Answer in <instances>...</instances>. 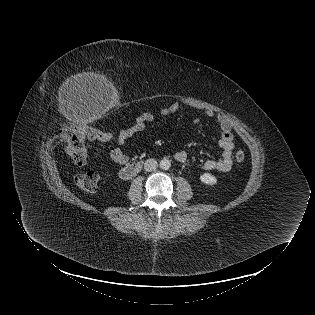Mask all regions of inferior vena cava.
I'll return each mask as SVG.
<instances>
[{
	"mask_svg": "<svg viewBox=\"0 0 315 315\" xmlns=\"http://www.w3.org/2000/svg\"><path fill=\"white\" fill-rule=\"evenodd\" d=\"M158 167V163L155 159H147L144 163L145 171L151 172L156 170Z\"/></svg>",
	"mask_w": 315,
	"mask_h": 315,
	"instance_id": "602c4592",
	"label": "inferior vena cava"
}]
</instances>
